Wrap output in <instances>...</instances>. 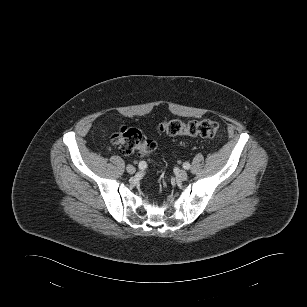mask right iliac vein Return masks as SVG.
I'll list each match as a JSON object with an SVG mask.
<instances>
[{"instance_id": "63e3f726", "label": "right iliac vein", "mask_w": 307, "mask_h": 307, "mask_svg": "<svg viewBox=\"0 0 307 307\" xmlns=\"http://www.w3.org/2000/svg\"><path fill=\"white\" fill-rule=\"evenodd\" d=\"M126 170H127V172H128L129 174H134L135 171H136L135 167L132 166V165H128V166L126 167Z\"/></svg>"}]
</instances>
